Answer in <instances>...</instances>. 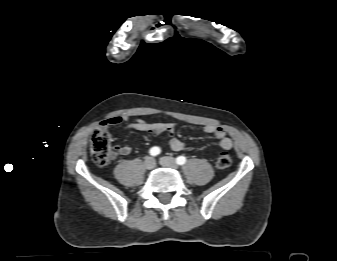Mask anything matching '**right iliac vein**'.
Segmentation results:
<instances>
[{"label":"right iliac vein","mask_w":337,"mask_h":261,"mask_svg":"<svg viewBox=\"0 0 337 261\" xmlns=\"http://www.w3.org/2000/svg\"><path fill=\"white\" fill-rule=\"evenodd\" d=\"M144 166H145V168L148 169V170H152L153 168H155L156 162H155L154 158H152V157H147V158L145 159Z\"/></svg>","instance_id":"right-iliac-vein-1"}]
</instances>
